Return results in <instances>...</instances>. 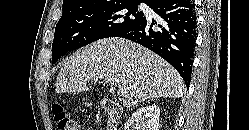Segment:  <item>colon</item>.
<instances>
[{"instance_id":"5ec220e1","label":"colon","mask_w":249,"mask_h":130,"mask_svg":"<svg viewBox=\"0 0 249 130\" xmlns=\"http://www.w3.org/2000/svg\"><path fill=\"white\" fill-rule=\"evenodd\" d=\"M53 113L59 130H80L78 122L65 113L60 105L53 106Z\"/></svg>"}]
</instances>
